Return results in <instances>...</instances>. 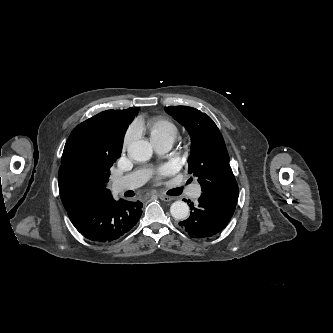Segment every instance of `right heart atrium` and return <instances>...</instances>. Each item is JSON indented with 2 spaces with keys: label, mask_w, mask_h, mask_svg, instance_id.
Here are the masks:
<instances>
[{
  "label": "right heart atrium",
  "mask_w": 333,
  "mask_h": 333,
  "mask_svg": "<svg viewBox=\"0 0 333 333\" xmlns=\"http://www.w3.org/2000/svg\"><path fill=\"white\" fill-rule=\"evenodd\" d=\"M139 134V126L137 123H133L127 129V132L124 137V148L128 147Z\"/></svg>",
  "instance_id": "obj_1"
}]
</instances>
